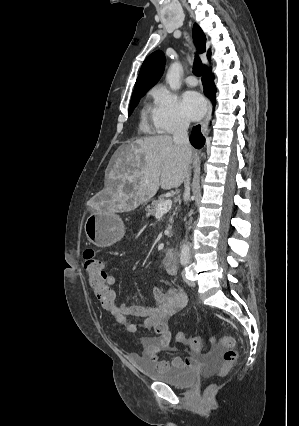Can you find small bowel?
<instances>
[{"label": "small bowel", "instance_id": "1", "mask_svg": "<svg viewBox=\"0 0 299 426\" xmlns=\"http://www.w3.org/2000/svg\"><path fill=\"white\" fill-rule=\"evenodd\" d=\"M163 266L169 275L176 273L174 263L163 262ZM107 282L114 286L116 278L106 272ZM154 303L151 305L129 304L122 302L114 304L107 309L116 320L125 325L131 334L138 331H154L155 336H142L140 344L141 354L132 353L130 359L137 362L140 359L150 361L156 368L163 369L169 366L193 368L198 363V356L195 351H191L186 358L176 357L171 362L160 358L162 352L173 350L171 346L172 332L168 321L179 312L187 303V297L183 290L178 287H171L163 291L159 287L153 288Z\"/></svg>", "mask_w": 299, "mask_h": 426}]
</instances>
